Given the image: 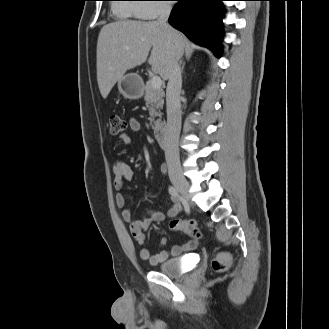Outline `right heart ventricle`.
Wrapping results in <instances>:
<instances>
[{
	"instance_id": "1",
	"label": "right heart ventricle",
	"mask_w": 329,
	"mask_h": 329,
	"mask_svg": "<svg viewBox=\"0 0 329 329\" xmlns=\"http://www.w3.org/2000/svg\"><path fill=\"white\" fill-rule=\"evenodd\" d=\"M114 5L113 11L121 18H139L138 9L140 4L131 3V0H120Z\"/></svg>"
}]
</instances>
